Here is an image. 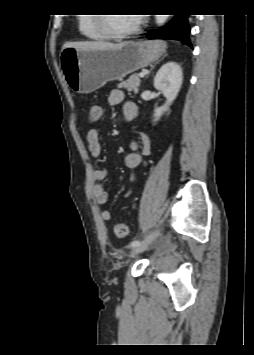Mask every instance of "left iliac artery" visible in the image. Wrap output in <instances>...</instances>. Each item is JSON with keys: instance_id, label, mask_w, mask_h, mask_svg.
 <instances>
[{"instance_id": "44dca946", "label": "left iliac artery", "mask_w": 254, "mask_h": 355, "mask_svg": "<svg viewBox=\"0 0 254 355\" xmlns=\"http://www.w3.org/2000/svg\"><path fill=\"white\" fill-rule=\"evenodd\" d=\"M142 242L140 241V240H134V241H132L131 243H130V245L132 246V247H136V246H138V245H140Z\"/></svg>"}]
</instances>
